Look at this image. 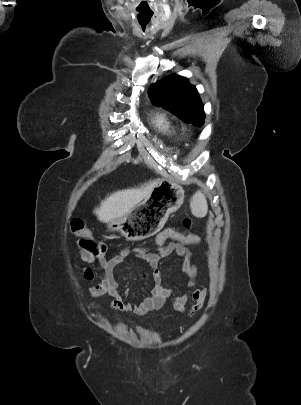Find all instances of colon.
I'll use <instances>...</instances> for the list:
<instances>
[{
    "label": "colon",
    "mask_w": 301,
    "mask_h": 405,
    "mask_svg": "<svg viewBox=\"0 0 301 405\" xmlns=\"http://www.w3.org/2000/svg\"><path fill=\"white\" fill-rule=\"evenodd\" d=\"M184 226L188 229L192 227V222L189 218H186L183 222ZM176 229L174 224H171L168 229H165V233L169 237H173L175 243H179L181 247H196L201 241V238L197 233L187 232L181 233ZM70 230L73 235L80 237L87 248H89L93 253L97 254L100 252L98 245L89 238L90 232L85 227V224L80 219H74L70 223Z\"/></svg>",
    "instance_id": "colon-1"
}]
</instances>
